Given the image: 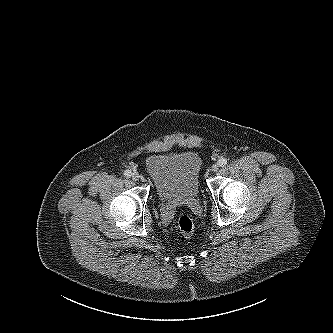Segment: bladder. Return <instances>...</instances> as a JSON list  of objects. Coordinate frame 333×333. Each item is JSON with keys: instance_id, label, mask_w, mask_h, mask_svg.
<instances>
[{"instance_id": "31cf9c89", "label": "bladder", "mask_w": 333, "mask_h": 333, "mask_svg": "<svg viewBox=\"0 0 333 333\" xmlns=\"http://www.w3.org/2000/svg\"><path fill=\"white\" fill-rule=\"evenodd\" d=\"M201 156L192 150L153 154L145 170L162 201L195 198L200 191Z\"/></svg>"}]
</instances>
